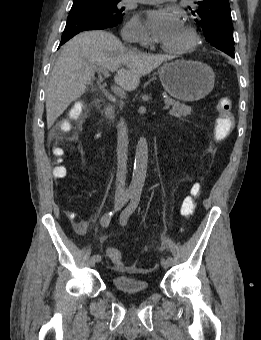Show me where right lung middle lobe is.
I'll list each match as a JSON object with an SVG mask.
<instances>
[{
    "mask_svg": "<svg viewBox=\"0 0 261 340\" xmlns=\"http://www.w3.org/2000/svg\"><path fill=\"white\" fill-rule=\"evenodd\" d=\"M121 0H88L74 2L69 14L87 13L108 22L115 27L122 22L124 7H120Z\"/></svg>",
    "mask_w": 261,
    "mask_h": 340,
    "instance_id": "1",
    "label": "right lung middle lobe"
}]
</instances>
